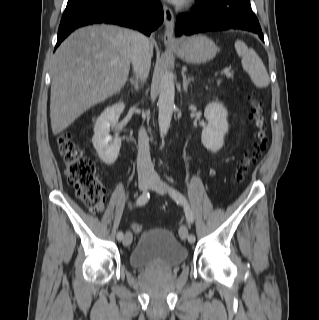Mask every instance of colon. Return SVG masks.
I'll return each instance as SVG.
<instances>
[{
	"label": "colon",
	"instance_id": "1",
	"mask_svg": "<svg viewBox=\"0 0 319 320\" xmlns=\"http://www.w3.org/2000/svg\"><path fill=\"white\" fill-rule=\"evenodd\" d=\"M251 119L255 127V143L253 150L248 153L236 168V179L241 181L249 167L266 147L267 124L262 104L252 99ZM58 146L62 156L68 182L74 186L77 197L94 213H100L105 205L106 190L96 174L95 165L82 150L72 141L69 133L58 137ZM132 231L140 233L142 226L132 224Z\"/></svg>",
	"mask_w": 319,
	"mask_h": 320
}]
</instances>
